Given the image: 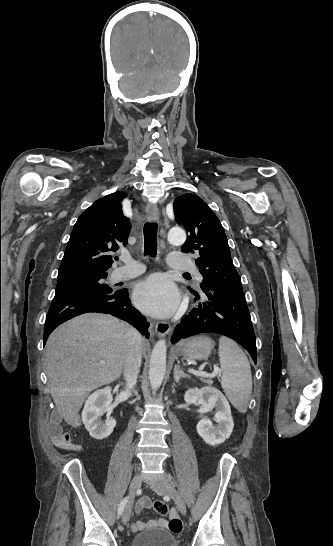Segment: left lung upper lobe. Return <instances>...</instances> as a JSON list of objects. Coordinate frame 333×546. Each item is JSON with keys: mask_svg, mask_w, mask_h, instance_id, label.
I'll list each match as a JSON object with an SVG mask.
<instances>
[{"mask_svg": "<svg viewBox=\"0 0 333 546\" xmlns=\"http://www.w3.org/2000/svg\"><path fill=\"white\" fill-rule=\"evenodd\" d=\"M174 214L176 222L188 232L181 251L197 256L196 265L203 276L201 289L243 291L224 229L209 206L196 195L184 194L175 199Z\"/></svg>", "mask_w": 333, "mask_h": 546, "instance_id": "5c2ea615", "label": "left lung upper lobe"}]
</instances>
